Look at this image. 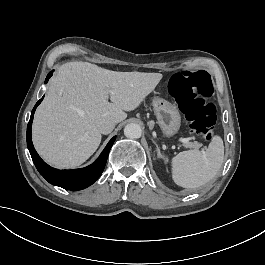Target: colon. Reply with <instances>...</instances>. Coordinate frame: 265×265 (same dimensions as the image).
Listing matches in <instances>:
<instances>
[{
    "mask_svg": "<svg viewBox=\"0 0 265 265\" xmlns=\"http://www.w3.org/2000/svg\"><path fill=\"white\" fill-rule=\"evenodd\" d=\"M169 90L180 101L190 131L203 140L212 139L216 107L212 101L214 88L210 78L197 69L185 68L171 78Z\"/></svg>",
    "mask_w": 265,
    "mask_h": 265,
    "instance_id": "5ec220e1",
    "label": "colon"
}]
</instances>
